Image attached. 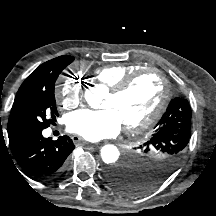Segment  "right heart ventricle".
I'll return each mask as SVG.
<instances>
[{"instance_id":"1","label":"right heart ventricle","mask_w":216,"mask_h":216,"mask_svg":"<svg viewBox=\"0 0 216 216\" xmlns=\"http://www.w3.org/2000/svg\"><path fill=\"white\" fill-rule=\"evenodd\" d=\"M142 67L137 64L117 63L102 66L94 71L95 79L111 88L120 82L124 77Z\"/></svg>"}]
</instances>
